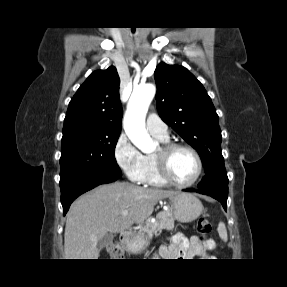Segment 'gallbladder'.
<instances>
[{"label": "gallbladder", "mask_w": 287, "mask_h": 287, "mask_svg": "<svg viewBox=\"0 0 287 287\" xmlns=\"http://www.w3.org/2000/svg\"><path fill=\"white\" fill-rule=\"evenodd\" d=\"M113 241V235L110 233L105 234L98 242L99 250L103 249Z\"/></svg>", "instance_id": "bac80fb5"}]
</instances>
